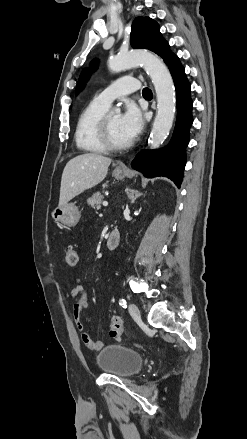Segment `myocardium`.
<instances>
[{"label":"myocardium","instance_id":"f54148a6","mask_svg":"<svg viewBox=\"0 0 247 439\" xmlns=\"http://www.w3.org/2000/svg\"><path fill=\"white\" fill-rule=\"evenodd\" d=\"M109 116L110 113H106L99 124V138L102 143V145L110 151H120L127 149L131 146V141H128L123 144H117L112 140L111 133H110V124H109Z\"/></svg>","mask_w":247,"mask_h":439}]
</instances>
